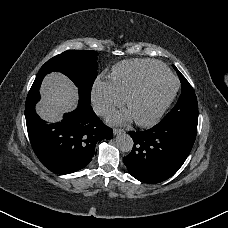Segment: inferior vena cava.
<instances>
[{
	"instance_id": "1",
	"label": "inferior vena cava",
	"mask_w": 228,
	"mask_h": 228,
	"mask_svg": "<svg viewBox=\"0 0 228 228\" xmlns=\"http://www.w3.org/2000/svg\"><path fill=\"white\" fill-rule=\"evenodd\" d=\"M94 112L97 115H103L109 106H107V104H104L102 101H95L92 105Z\"/></svg>"
}]
</instances>
